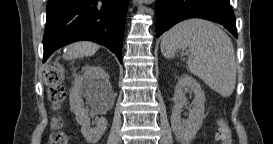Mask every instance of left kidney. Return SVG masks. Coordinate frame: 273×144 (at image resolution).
<instances>
[{"mask_svg":"<svg viewBox=\"0 0 273 144\" xmlns=\"http://www.w3.org/2000/svg\"><path fill=\"white\" fill-rule=\"evenodd\" d=\"M189 90L194 94L195 98L192 106H189L188 119L182 120V108L188 104L185 93ZM173 102L171 127L176 138L182 143H186L195 137L202 125L205 117V94L200 84L193 77L184 74L179 78L175 87Z\"/></svg>","mask_w":273,"mask_h":144,"instance_id":"5707ae66","label":"left kidney"}]
</instances>
